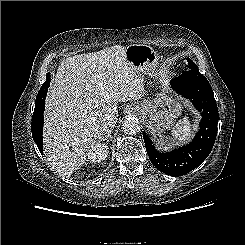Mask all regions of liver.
I'll return each instance as SVG.
<instances>
[{
    "label": "liver",
    "instance_id": "obj_1",
    "mask_svg": "<svg viewBox=\"0 0 245 245\" xmlns=\"http://www.w3.org/2000/svg\"><path fill=\"white\" fill-rule=\"evenodd\" d=\"M125 52L124 46H111L68 57L58 67L46 98L43 136L46 159L61 176L80 169L89 150L104 141V114L117 117V102L142 96V80Z\"/></svg>",
    "mask_w": 245,
    "mask_h": 245
}]
</instances>
